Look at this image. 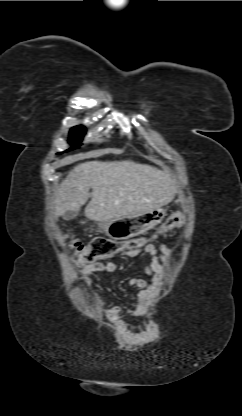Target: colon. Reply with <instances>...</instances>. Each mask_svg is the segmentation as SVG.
<instances>
[{
  "instance_id": "5ec220e1",
  "label": "colon",
  "mask_w": 242,
  "mask_h": 416,
  "mask_svg": "<svg viewBox=\"0 0 242 416\" xmlns=\"http://www.w3.org/2000/svg\"><path fill=\"white\" fill-rule=\"evenodd\" d=\"M184 217L180 213L169 216L166 221L158 228L152 238H157L166 232L182 226ZM149 241L147 237H136L129 240H112L106 237H96L91 242L85 244L80 239L69 235L67 247L72 252L75 260L82 264H92L106 260L117 254L135 250L146 245Z\"/></svg>"
}]
</instances>
